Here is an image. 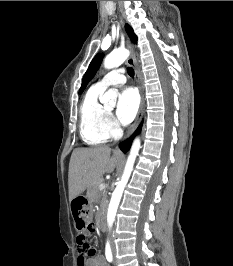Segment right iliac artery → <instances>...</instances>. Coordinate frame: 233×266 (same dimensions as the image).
Here are the masks:
<instances>
[{"mask_svg": "<svg viewBox=\"0 0 233 266\" xmlns=\"http://www.w3.org/2000/svg\"><path fill=\"white\" fill-rule=\"evenodd\" d=\"M105 256H106V259H107L109 262H112V260H113V256H112V251H111V248H110V244H109V242H107V244H106Z\"/></svg>", "mask_w": 233, "mask_h": 266, "instance_id": "right-iliac-artery-1", "label": "right iliac artery"}]
</instances>
